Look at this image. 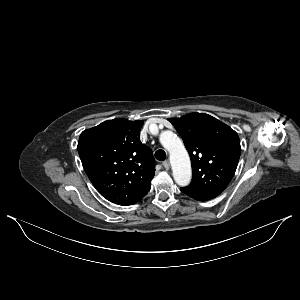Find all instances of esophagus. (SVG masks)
<instances>
[{
  "mask_svg": "<svg viewBox=\"0 0 300 300\" xmlns=\"http://www.w3.org/2000/svg\"><path fill=\"white\" fill-rule=\"evenodd\" d=\"M162 165H163V167H164L166 170H168V169L170 168V163H169V161H164V162L162 163Z\"/></svg>",
  "mask_w": 300,
  "mask_h": 300,
  "instance_id": "1",
  "label": "esophagus"
}]
</instances>
